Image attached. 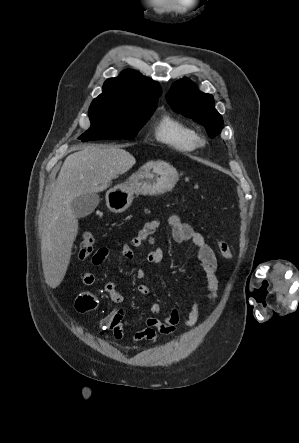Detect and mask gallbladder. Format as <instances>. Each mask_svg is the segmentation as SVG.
I'll list each match as a JSON object with an SVG mask.
<instances>
[{
    "mask_svg": "<svg viewBox=\"0 0 299 443\" xmlns=\"http://www.w3.org/2000/svg\"><path fill=\"white\" fill-rule=\"evenodd\" d=\"M100 202L97 193H87L76 197L71 203V209L76 218L90 215Z\"/></svg>",
    "mask_w": 299,
    "mask_h": 443,
    "instance_id": "1",
    "label": "gallbladder"
}]
</instances>
